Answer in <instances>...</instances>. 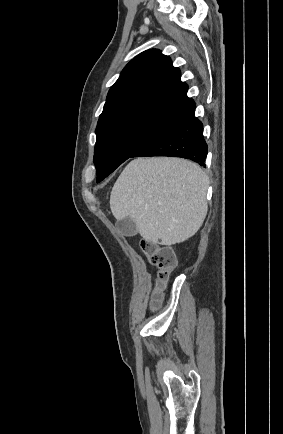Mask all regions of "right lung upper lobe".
I'll list each match as a JSON object with an SVG mask.
<instances>
[{"mask_svg":"<svg viewBox=\"0 0 283 434\" xmlns=\"http://www.w3.org/2000/svg\"><path fill=\"white\" fill-rule=\"evenodd\" d=\"M179 68L158 49L140 53L121 72L110 88L98 124L133 113H146L175 120L196 107L187 97L188 86Z\"/></svg>","mask_w":283,"mask_h":434,"instance_id":"obj_1","label":"right lung upper lobe"}]
</instances>
